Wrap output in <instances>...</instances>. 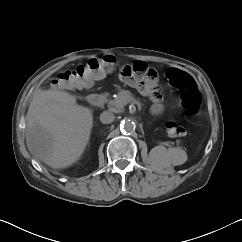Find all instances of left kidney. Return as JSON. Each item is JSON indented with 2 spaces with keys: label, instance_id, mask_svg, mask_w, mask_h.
I'll use <instances>...</instances> for the list:
<instances>
[{
  "label": "left kidney",
  "instance_id": "5707ae66",
  "mask_svg": "<svg viewBox=\"0 0 242 242\" xmlns=\"http://www.w3.org/2000/svg\"><path fill=\"white\" fill-rule=\"evenodd\" d=\"M167 152V149L164 147V146H156L154 147L151 152H150V155H151V158L153 159V161L156 163V164H159L160 165V160H161V157L162 155H164L165 153ZM176 153H177V156L180 155V159L179 160H175L173 163L171 164H174V165H180V164H183L186 160H187V155L185 153V151L181 150V149H177L176 150Z\"/></svg>",
  "mask_w": 242,
  "mask_h": 242
}]
</instances>
